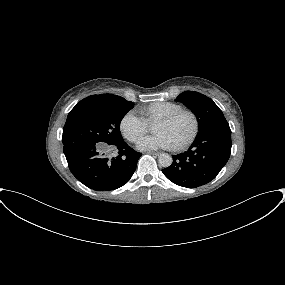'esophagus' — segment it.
Masks as SVG:
<instances>
[{
	"label": "esophagus",
	"instance_id": "1",
	"mask_svg": "<svg viewBox=\"0 0 285 285\" xmlns=\"http://www.w3.org/2000/svg\"><path fill=\"white\" fill-rule=\"evenodd\" d=\"M147 154L153 155V156H158L160 153L159 152L148 151Z\"/></svg>",
	"mask_w": 285,
	"mask_h": 285
}]
</instances>
